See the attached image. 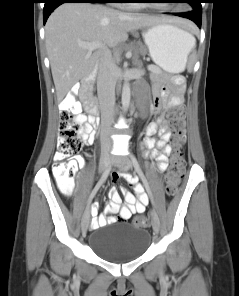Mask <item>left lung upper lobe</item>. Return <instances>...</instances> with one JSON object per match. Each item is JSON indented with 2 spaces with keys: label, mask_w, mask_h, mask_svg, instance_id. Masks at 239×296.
<instances>
[{
  "label": "left lung upper lobe",
  "mask_w": 239,
  "mask_h": 296,
  "mask_svg": "<svg viewBox=\"0 0 239 296\" xmlns=\"http://www.w3.org/2000/svg\"><path fill=\"white\" fill-rule=\"evenodd\" d=\"M180 2L188 3L191 5L192 10L202 13L201 0H181Z\"/></svg>",
  "instance_id": "5c2ea615"
}]
</instances>
